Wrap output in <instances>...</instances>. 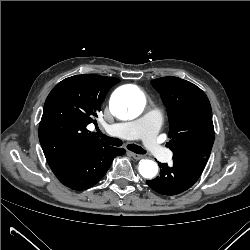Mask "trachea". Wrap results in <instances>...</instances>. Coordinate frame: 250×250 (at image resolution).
<instances>
[{"label": "trachea", "instance_id": "3493384b", "mask_svg": "<svg viewBox=\"0 0 250 250\" xmlns=\"http://www.w3.org/2000/svg\"><path fill=\"white\" fill-rule=\"evenodd\" d=\"M97 135L100 136L109 145L116 146V147L122 145V141L120 139L108 137L105 134H103L100 130L97 131ZM127 148L130 151L137 153V154H146V150H144L143 148L135 144H129L127 145Z\"/></svg>", "mask_w": 250, "mask_h": 250}]
</instances>
